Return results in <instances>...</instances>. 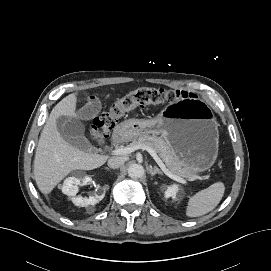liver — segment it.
Listing matches in <instances>:
<instances>
[{
	"instance_id": "6515ba94",
	"label": "liver",
	"mask_w": 271,
	"mask_h": 271,
	"mask_svg": "<svg viewBox=\"0 0 271 271\" xmlns=\"http://www.w3.org/2000/svg\"><path fill=\"white\" fill-rule=\"evenodd\" d=\"M75 94L62 99L51 111L41 132L34 159V178L39 190L49 194L71 171L101 167L108 156L76 150L56 131L54 120L61 113L74 117Z\"/></svg>"
}]
</instances>
